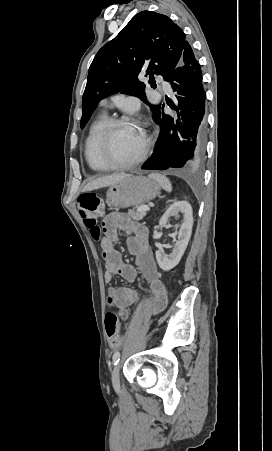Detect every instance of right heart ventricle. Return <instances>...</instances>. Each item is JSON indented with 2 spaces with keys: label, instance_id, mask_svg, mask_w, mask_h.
Here are the masks:
<instances>
[{
  "label": "right heart ventricle",
  "instance_id": "obj_1",
  "mask_svg": "<svg viewBox=\"0 0 272 451\" xmlns=\"http://www.w3.org/2000/svg\"><path fill=\"white\" fill-rule=\"evenodd\" d=\"M106 121L107 116L101 115L91 127L89 136L87 138L86 159L89 168L95 173L104 171L98 155V138Z\"/></svg>",
  "mask_w": 272,
  "mask_h": 451
}]
</instances>
